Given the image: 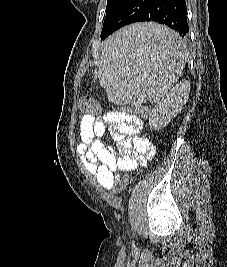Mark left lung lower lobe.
Masks as SVG:
<instances>
[{
  "label": "left lung lower lobe",
  "instance_id": "obj_1",
  "mask_svg": "<svg viewBox=\"0 0 227 267\" xmlns=\"http://www.w3.org/2000/svg\"><path fill=\"white\" fill-rule=\"evenodd\" d=\"M185 0H128L104 25L101 39L111 35L121 27L143 21H154L172 28L181 36L189 32ZM164 39L156 40L141 35L135 42L137 47L152 49L167 45ZM135 47V46H134Z\"/></svg>",
  "mask_w": 227,
  "mask_h": 267
}]
</instances>
